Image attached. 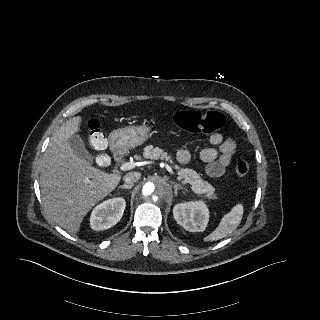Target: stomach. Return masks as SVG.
<instances>
[{"label": "stomach", "instance_id": "1", "mask_svg": "<svg viewBox=\"0 0 320 320\" xmlns=\"http://www.w3.org/2000/svg\"><path fill=\"white\" fill-rule=\"evenodd\" d=\"M149 135L150 127L147 125L129 126L112 131L109 138L114 147L127 150L147 141Z\"/></svg>", "mask_w": 320, "mask_h": 320}]
</instances>
